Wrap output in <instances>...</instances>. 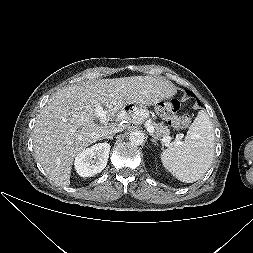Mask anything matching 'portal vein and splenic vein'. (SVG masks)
I'll return each mask as SVG.
<instances>
[{
  "label": "portal vein and splenic vein",
  "mask_w": 253,
  "mask_h": 253,
  "mask_svg": "<svg viewBox=\"0 0 253 253\" xmlns=\"http://www.w3.org/2000/svg\"><path fill=\"white\" fill-rule=\"evenodd\" d=\"M95 113H96L97 117L99 118L100 123H104V122L106 121V119H107V117H106V111L103 110L102 106L97 105V106L95 107ZM147 130H148L150 133H154V127H153L152 125H149V126L147 127ZM170 139H171V138H170L169 136H165V137H163L162 141L165 142V143H169V142H170Z\"/></svg>",
  "instance_id": "1"
}]
</instances>
